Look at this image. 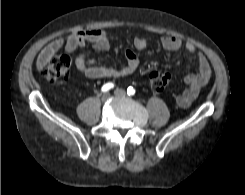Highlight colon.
<instances>
[{"instance_id": "obj_1", "label": "colon", "mask_w": 245, "mask_h": 195, "mask_svg": "<svg viewBox=\"0 0 245 195\" xmlns=\"http://www.w3.org/2000/svg\"><path fill=\"white\" fill-rule=\"evenodd\" d=\"M71 59L67 54L55 52L48 60L44 69L45 78L54 82L66 79L70 73ZM170 74L165 71H155L149 76V84L153 91L161 92L169 83Z\"/></svg>"}]
</instances>
